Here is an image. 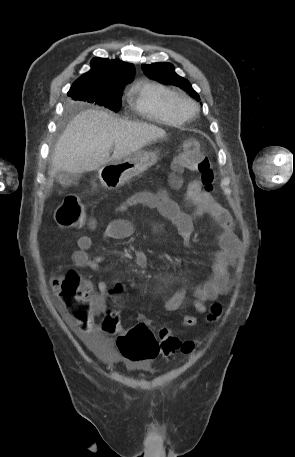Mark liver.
<instances>
[{
	"instance_id": "liver-1",
	"label": "liver",
	"mask_w": 295,
	"mask_h": 457,
	"mask_svg": "<svg viewBox=\"0 0 295 457\" xmlns=\"http://www.w3.org/2000/svg\"><path fill=\"white\" fill-rule=\"evenodd\" d=\"M165 136L166 132L155 125L124 121L99 110L82 111L56 143L46 186H53V177L59 171L80 174L99 169Z\"/></svg>"
}]
</instances>
